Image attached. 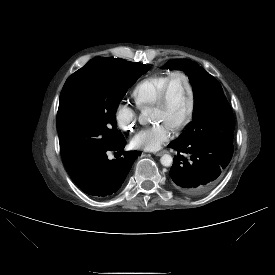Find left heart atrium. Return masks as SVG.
I'll return each instance as SVG.
<instances>
[{
  "label": "left heart atrium",
  "mask_w": 275,
  "mask_h": 275,
  "mask_svg": "<svg viewBox=\"0 0 275 275\" xmlns=\"http://www.w3.org/2000/svg\"><path fill=\"white\" fill-rule=\"evenodd\" d=\"M172 129L167 123L158 122L137 132L131 143L135 148L157 151L170 140Z\"/></svg>",
  "instance_id": "1"
}]
</instances>
